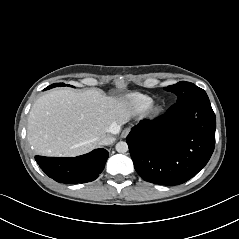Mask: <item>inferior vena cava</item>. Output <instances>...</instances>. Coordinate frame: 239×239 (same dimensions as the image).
Listing matches in <instances>:
<instances>
[{
	"label": "inferior vena cava",
	"mask_w": 239,
	"mask_h": 239,
	"mask_svg": "<svg viewBox=\"0 0 239 239\" xmlns=\"http://www.w3.org/2000/svg\"><path fill=\"white\" fill-rule=\"evenodd\" d=\"M120 128H116V134L119 132ZM114 137L109 135V134H106V135H103L99 138V143L100 145H110L114 142Z\"/></svg>",
	"instance_id": "1"
}]
</instances>
